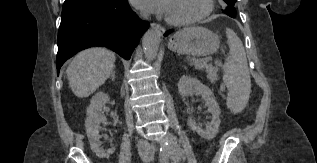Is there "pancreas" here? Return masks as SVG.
Here are the masks:
<instances>
[{
  "label": "pancreas",
  "instance_id": "obj_1",
  "mask_svg": "<svg viewBox=\"0 0 317 163\" xmlns=\"http://www.w3.org/2000/svg\"><path fill=\"white\" fill-rule=\"evenodd\" d=\"M191 62L193 63V65L195 66V69H206L207 73H208V79L211 82H215L218 79L217 76V68L199 60V59H191Z\"/></svg>",
  "mask_w": 317,
  "mask_h": 163
}]
</instances>
